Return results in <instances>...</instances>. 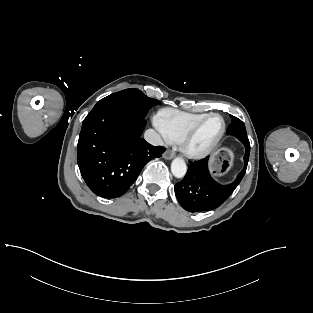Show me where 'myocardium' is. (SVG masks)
I'll list each match as a JSON object with an SVG mask.
<instances>
[{
  "label": "myocardium",
  "instance_id": "obj_1",
  "mask_svg": "<svg viewBox=\"0 0 313 313\" xmlns=\"http://www.w3.org/2000/svg\"><path fill=\"white\" fill-rule=\"evenodd\" d=\"M211 117H218L221 119L222 121V129L219 133V135L217 136V138L213 141V143L208 146L205 149H194L192 147V139L194 137V135L196 134V132L199 130V128ZM226 132V121L223 118L222 115L218 114V113H209L207 114L205 117H203L200 121H198L197 123H195L182 137V139L179 142L180 145V150L182 151V153L188 157V158H192V159H201L204 158L206 156H208L209 154H211L219 145V143L221 142L222 138L224 137Z\"/></svg>",
  "mask_w": 313,
  "mask_h": 313
}]
</instances>
